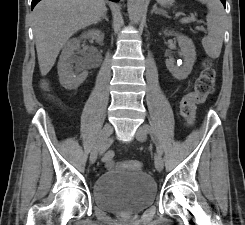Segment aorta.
I'll return each mask as SVG.
<instances>
[{"label": "aorta", "mask_w": 245, "mask_h": 225, "mask_svg": "<svg viewBox=\"0 0 245 225\" xmlns=\"http://www.w3.org/2000/svg\"><path fill=\"white\" fill-rule=\"evenodd\" d=\"M145 0H128L127 9L130 19L139 23L142 17Z\"/></svg>", "instance_id": "obj_1"}]
</instances>
